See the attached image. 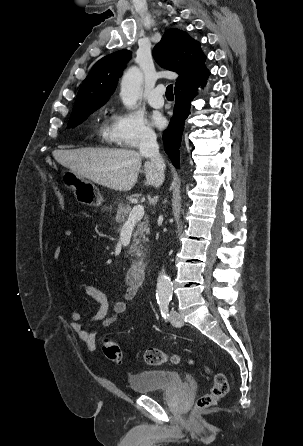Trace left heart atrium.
<instances>
[{
    "label": "left heart atrium",
    "instance_id": "left-heart-atrium-1",
    "mask_svg": "<svg viewBox=\"0 0 303 446\" xmlns=\"http://www.w3.org/2000/svg\"><path fill=\"white\" fill-rule=\"evenodd\" d=\"M152 120L158 128H163L166 125V119L161 114H154Z\"/></svg>",
    "mask_w": 303,
    "mask_h": 446
}]
</instances>
